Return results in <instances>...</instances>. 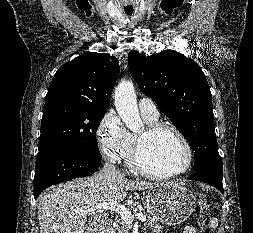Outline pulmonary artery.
Listing matches in <instances>:
<instances>
[{
    "instance_id": "pulmonary-artery-1",
    "label": "pulmonary artery",
    "mask_w": 253,
    "mask_h": 233,
    "mask_svg": "<svg viewBox=\"0 0 253 233\" xmlns=\"http://www.w3.org/2000/svg\"><path fill=\"white\" fill-rule=\"evenodd\" d=\"M139 111L143 117L150 119H157L159 116V111L155 103L147 97H142L138 103Z\"/></svg>"
}]
</instances>
